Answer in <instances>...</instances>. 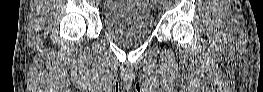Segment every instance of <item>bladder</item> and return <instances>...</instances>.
Wrapping results in <instances>:
<instances>
[{
    "mask_svg": "<svg viewBox=\"0 0 263 92\" xmlns=\"http://www.w3.org/2000/svg\"><path fill=\"white\" fill-rule=\"evenodd\" d=\"M125 6H114L103 17L104 28L111 39L122 45H136L146 40L153 31V17L143 6L144 1H122Z\"/></svg>",
    "mask_w": 263,
    "mask_h": 92,
    "instance_id": "31cf9c89",
    "label": "bladder"
}]
</instances>
